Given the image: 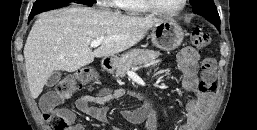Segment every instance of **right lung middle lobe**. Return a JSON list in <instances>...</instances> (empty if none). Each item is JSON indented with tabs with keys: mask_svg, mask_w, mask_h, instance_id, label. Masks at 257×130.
Returning a JSON list of instances; mask_svg holds the SVG:
<instances>
[{
	"mask_svg": "<svg viewBox=\"0 0 257 130\" xmlns=\"http://www.w3.org/2000/svg\"><path fill=\"white\" fill-rule=\"evenodd\" d=\"M73 2L71 0H37L32 8L30 16H34L37 13H40L44 10H49L55 7H62L68 3ZM80 3L92 6L95 2L94 0H79Z\"/></svg>",
	"mask_w": 257,
	"mask_h": 130,
	"instance_id": "right-lung-middle-lobe-1",
	"label": "right lung middle lobe"
}]
</instances>
